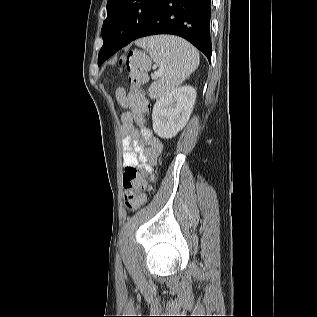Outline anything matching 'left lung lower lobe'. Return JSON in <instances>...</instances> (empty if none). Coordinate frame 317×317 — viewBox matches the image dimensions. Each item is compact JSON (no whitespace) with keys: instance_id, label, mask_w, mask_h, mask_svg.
I'll list each match as a JSON object with an SVG mask.
<instances>
[{"instance_id":"0a47b994","label":"left lung lower lobe","mask_w":317,"mask_h":317,"mask_svg":"<svg viewBox=\"0 0 317 317\" xmlns=\"http://www.w3.org/2000/svg\"><path fill=\"white\" fill-rule=\"evenodd\" d=\"M210 3L211 0H163L133 40L156 34L177 35L192 43L210 61ZM127 44L104 42V58Z\"/></svg>"}]
</instances>
